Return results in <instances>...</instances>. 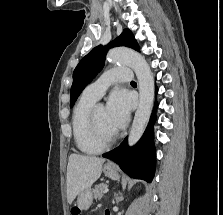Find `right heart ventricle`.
Masks as SVG:
<instances>
[{
	"label": "right heart ventricle",
	"instance_id": "1",
	"mask_svg": "<svg viewBox=\"0 0 223 215\" xmlns=\"http://www.w3.org/2000/svg\"><path fill=\"white\" fill-rule=\"evenodd\" d=\"M95 101L83 94L74 108L72 117L74 143L79 151L88 155H95L101 152L93 143L90 134V118Z\"/></svg>",
	"mask_w": 223,
	"mask_h": 215
}]
</instances>
